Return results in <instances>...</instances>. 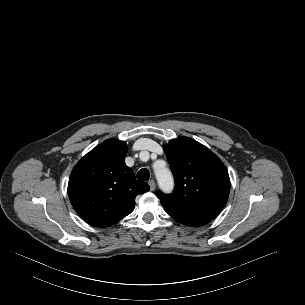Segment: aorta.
Wrapping results in <instances>:
<instances>
[{"label": "aorta", "instance_id": "1", "mask_svg": "<svg viewBox=\"0 0 305 305\" xmlns=\"http://www.w3.org/2000/svg\"><path fill=\"white\" fill-rule=\"evenodd\" d=\"M155 175L159 185L164 190H170L173 186V178L171 172L167 168L155 169Z\"/></svg>", "mask_w": 305, "mask_h": 305}]
</instances>
